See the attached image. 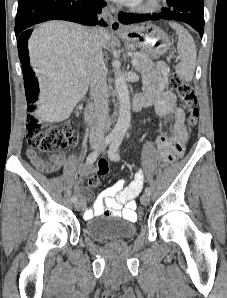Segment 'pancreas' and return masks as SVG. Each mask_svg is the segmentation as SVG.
I'll return each instance as SVG.
<instances>
[{
	"mask_svg": "<svg viewBox=\"0 0 227 298\" xmlns=\"http://www.w3.org/2000/svg\"><path fill=\"white\" fill-rule=\"evenodd\" d=\"M133 58L138 61V64L135 66V69L141 73L145 74L154 69V64L152 60L144 53H136Z\"/></svg>",
	"mask_w": 227,
	"mask_h": 298,
	"instance_id": "pancreas-1",
	"label": "pancreas"
}]
</instances>
